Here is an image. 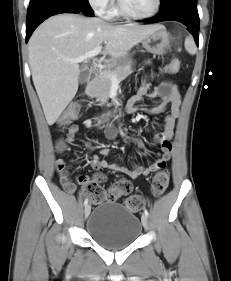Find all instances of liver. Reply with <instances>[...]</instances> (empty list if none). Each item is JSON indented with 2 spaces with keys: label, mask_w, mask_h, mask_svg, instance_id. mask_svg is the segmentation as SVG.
<instances>
[{
  "label": "liver",
  "mask_w": 231,
  "mask_h": 281,
  "mask_svg": "<svg viewBox=\"0 0 231 281\" xmlns=\"http://www.w3.org/2000/svg\"><path fill=\"white\" fill-rule=\"evenodd\" d=\"M162 25H112L99 18L59 14L44 21L29 40L32 80L48 125H53L78 90L76 59L105 43L111 61L125 57Z\"/></svg>",
  "instance_id": "6515ba94"
}]
</instances>
